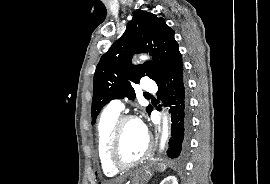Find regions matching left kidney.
Returning a JSON list of instances; mask_svg holds the SVG:
<instances>
[{
	"label": "left kidney",
	"mask_w": 270,
	"mask_h": 184,
	"mask_svg": "<svg viewBox=\"0 0 270 184\" xmlns=\"http://www.w3.org/2000/svg\"><path fill=\"white\" fill-rule=\"evenodd\" d=\"M160 184H178V181L175 176H168L163 179Z\"/></svg>",
	"instance_id": "left-kidney-1"
}]
</instances>
